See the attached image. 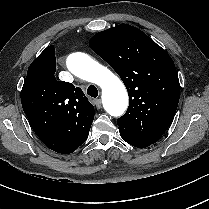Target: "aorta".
Returning a JSON list of instances; mask_svg holds the SVG:
<instances>
[{
	"mask_svg": "<svg viewBox=\"0 0 209 209\" xmlns=\"http://www.w3.org/2000/svg\"><path fill=\"white\" fill-rule=\"evenodd\" d=\"M67 67L74 75L101 87L107 113L118 117L125 112L128 106L127 91L121 80L108 68L82 52L70 54Z\"/></svg>",
	"mask_w": 209,
	"mask_h": 209,
	"instance_id": "762f6f07",
	"label": "aorta"
}]
</instances>
